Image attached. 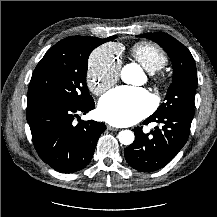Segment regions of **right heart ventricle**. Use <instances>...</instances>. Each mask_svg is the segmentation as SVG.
<instances>
[{
  "mask_svg": "<svg viewBox=\"0 0 217 217\" xmlns=\"http://www.w3.org/2000/svg\"><path fill=\"white\" fill-rule=\"evenodd\" d=\"M130 55L150 73L162 69L167 62L164 51L156 44L146 41L133 45Z\"/></svg>",
  "mask_w": 217,
  "mask_h": 217,
  "instance_id": "1",
  "label": "right heart ventricle"
}]
</instances>
